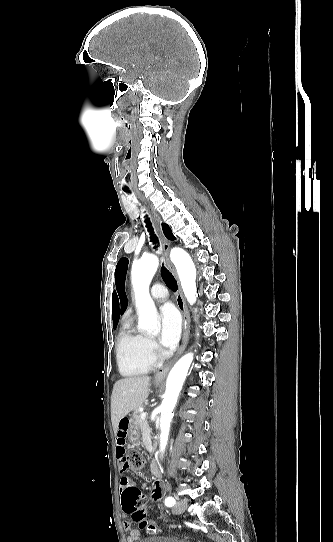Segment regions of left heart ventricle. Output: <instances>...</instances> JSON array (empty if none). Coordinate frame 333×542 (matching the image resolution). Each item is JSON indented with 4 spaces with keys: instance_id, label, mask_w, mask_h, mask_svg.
<instances>
[{
    "instance_id": "b2bd125f",
    "label": "left heart ventricle",
    "mask_w": 333,
    "mask_h": 542,
    "mask_svg": "<svg viewBox=\"0 0 333 542\" xmlns=\"http://www.w3.org/2000/svg\"><path fill=\"white\" fill-rule=\"evenodd\" d=\"M151 338H152V339H155V338H156V335H154V336H151Z\"/></svg>"
}]
</instances>
